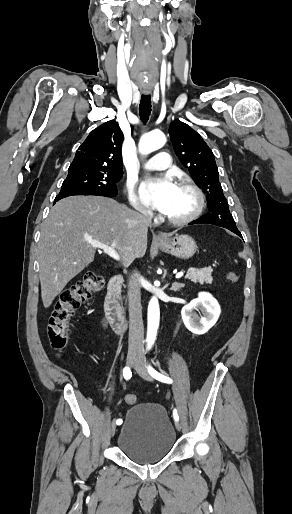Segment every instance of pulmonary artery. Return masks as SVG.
<instances>
[{"label":"pulmonary artery","instance_id":"obj_1","mask_svg":"<svg viewBox=\"0 0 292 514\" xmlns=\"http://www.w3.org/2000/svg\"><path fill=\"white\" fill-rule=\"evenodd\" d=\"M154 158L149 160L147 168L152 172H170L173 165V158L170 151H155Z\"/></svg>","mask_w":292,"mask_h":514}]
</instances>
